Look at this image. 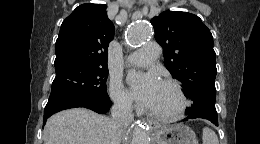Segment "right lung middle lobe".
Masks as SVG:
<instances>
[{"label": "right lung middle lobe", "mask_w": 260, "mask_h": 144, "mask_svg": "<svg viewBox=\"0 0 260 144\" xmlns=\"http://www.w3.org/2000/svg\"><path fill=\"white\" fill-rule=\"evenodd\" d=\"M56 77L46 107L65 103H91L109 98L108 66L65 65L55 68Z\"/></svg>", "instance_id": "obj_1"}]
</instances>
